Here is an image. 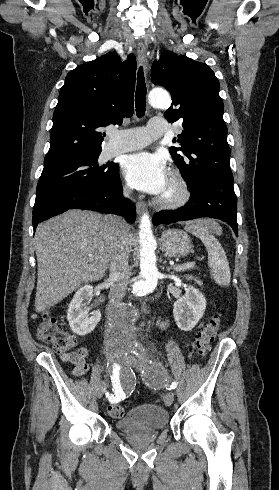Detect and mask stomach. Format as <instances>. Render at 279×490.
I'll return each mask as SVG.
<instances>
[{
	"label": "stomach",
	"instance_id": "1",
	"mask_svg": "<svg viewBox=\"0 0 279 490\" xmlns=\"http://www.w3.org/2000/svg\"><path fill=\"white\" fill-rule=\"evenodd\" d=\"M162 248L168 258H184L192 254V242L183 230H165L161 236Z\"/></svg>",
	"mask_w": 279,
	"mask_h": 490
}]
</instances>
